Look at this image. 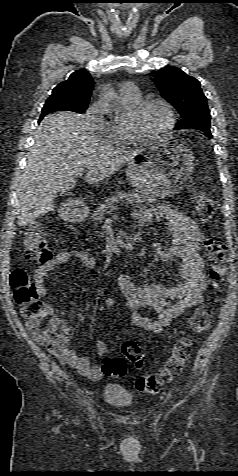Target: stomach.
<instances>
[{
  "mask_svg": "<svg viewBox=\"0 0 238 476\" xmlns=\"http://www.w3.org/2000/svg\"><path fill=\"white\" fill-rule=\"evenodd\" d=\"M136 161L140 162L127 164V180L147 198L170 197L178 193L194 167L193 152L176 137L141 149L136 152ZM85 213L86 207L74 202L69 218L78 220Z\"/></svg>",
  "mask_w": 238,
  "mask_h": 476,
  "instance_id": "stomach-1",
  "label": "stomach"
}]
</instances>
